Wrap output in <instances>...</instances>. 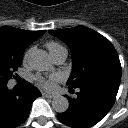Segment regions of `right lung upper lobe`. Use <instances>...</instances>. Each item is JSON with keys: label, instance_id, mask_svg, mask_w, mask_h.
I'll return each mask as SVG.
<instances>
[{"label": "right lung upper lobe", "instance_id": "obj_1", "mask_svg": "<svg viewBox=\"0 0 128 128\" xmlns=\"http://www.w3.org/2000/svg\"><path fill=\"white\" fill-rule=\"evenodd\" d=\"M45 30L27 31L10 26L0 27V48L24 52L25 48L37 40Z\"/></svg>", "mask_w": 128, "mask_h": 128}]
</instances>
